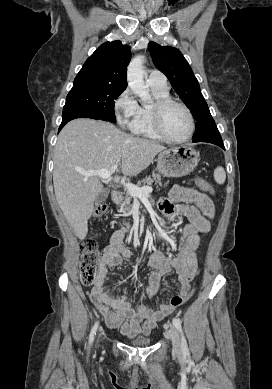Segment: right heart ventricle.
I'll return each instance as SVG.
<instances>
[{
	"label": "right heart ventricle",
	"mask_w": 272,
	"mask_h": 389,
	"mask_svg": "<svg viewBox=\"0 0 272 389\" xmlns=\"http://www.w3.org/2000/svg\"><path fill=\"white\" fill-rule=\"evenodd\" d=\"M151 92L155 100L167 98L169 96L168 90L151 88ZM129 127L134 134L144 136L150 139H161L153 128L151 119V107L149 106H138L137 115L131 122Z\"/></svg>",
	"instance_id": "right-heart-ventricle-1"
}]
</instances>
